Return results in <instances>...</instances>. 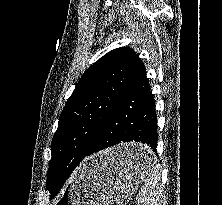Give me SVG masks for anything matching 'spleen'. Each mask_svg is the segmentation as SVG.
<instances>
[{
  "mask_svg": "<svg viewBox=\"0 0 222 205\" xmlns=\"http://www.w3.org/2000/svg\"><path fill=\"white\" fill-rule=\"evenodd\" d=\"M162 184L160 183L159 166L154 162L144 179L137 195L138 205H162Z\"/></svg>",
  "mask_w": 222,
  "mask_h": 205,
  "instance_id": "spleen-1",
  "label": "spleen"
}]
</instances>
